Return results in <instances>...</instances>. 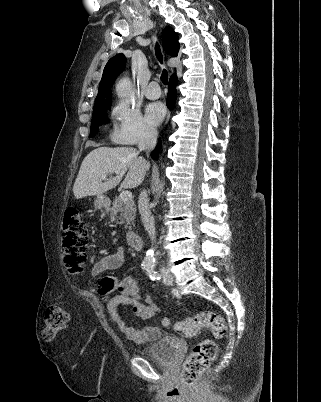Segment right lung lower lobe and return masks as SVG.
<instances>
[{"label":"right lung lower lobe","mask_w":321,"mask_h":402,"mask_svg":"<svg viewBox=\"0 0 321 402\" xmlns=\"http://www.w3.org/2000/svg\"><path fill=\"white\" fill-rule=\"evenodd\" d=\"M176 83H177V77H176V75H172L170 78V81H169V91H168V98H167V106L170 109L174 106L176 98H177V92L175 89ZM160 146H161V143H159L158 146L155 148V150L151 153V157L155 160L158 159Z\"/></svg>","instance_id":"right-lung-lower-lobe-1"}]
</instances>
